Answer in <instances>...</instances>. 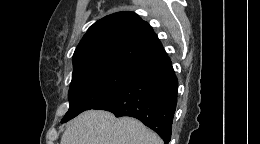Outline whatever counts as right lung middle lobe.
<instances>
[{
    "label": "right lung middle lobe",
    "mask_w": 260,
    "mask_h": 144,
    "mask_svg": "<svg viewBox=\"0 0 260 144\" xmlns=\"http://www.w3.org/2000/svg\"><path fill=\"white\" fill-rule=\"evenodd\" d=\"M135 70L113 66H92L76 71L69 88V110L62 123L76 117L117 92L135 73Z\"/></svg>",
    "instance_id": "1"
}]
</instances>
